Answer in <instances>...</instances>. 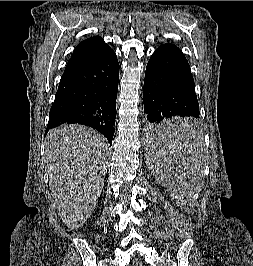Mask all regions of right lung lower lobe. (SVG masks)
<instances>
[{
	"label": "right lung lower lobe",
	"mask_w": 253,
	"mask_h": 266,
	"mask_svg": "<svg viewBox=\"0 0 253 266\" xmlns=\"http://www.w3.org/2000/svg\"><path fill=\"white\" fill-rule=\"evenodd\" d=\"M118 81L119 63L111 48L65 69L50 109L45 133L64 123H78L98 130L111 145L115 130Z\"/></svg>",
	"instance_id": "1"
}]
</instances>
